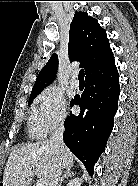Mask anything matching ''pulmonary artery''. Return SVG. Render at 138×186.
I'll use <instances>...</instances> for the list:
<instances>
[{
  "instance_id": "obj_1",
  "label": "pulmonary artery",
  "mask_w": 138,
  "mask_h": 186,
  "mask_svg": "<svg viewBox=\"0 0 138 186\" xmlns=\"http://www.w3.org/2000/svg\"><path fill=\"white\" fill-rule=\"evenodd\" d=\"M70 84L73 88H78L79 87V80L77 78V75L74 74L70 80Z\"/></svg>"
}]
</instances>
